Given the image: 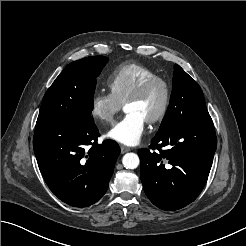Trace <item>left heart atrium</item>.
<instances>
[{
  "label": "left heart atrium",
  "mask_w": 246,
  "mask_h": 246,
  "mask_svg": "<svg viewBox=\"0 0 246 246\" xmlns=\"http://www.w3.org/2000/svg\"><path fill=\"white\" fill-rule=\"evenodd\" d=\"M145 123V119L138 113L128 112L108 131L107 136L124 145H136L145 131Z\"/></svg>",
  "instance_id": "left-heart-atrium-1"
}]
</instances>
